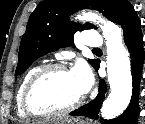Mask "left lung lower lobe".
Instances as JSON below:
<instances>
[{"mask_svg": "<svg viewBox=\"0 0 145 124\" xmlns=\"http://www.w3.org/2000/svg\"><path fill=\"white\" fill-rule=\"evenodd\" d=\"M118 24L121 25L124 32V41L131 56L133 94L129 106L125 112L113 120H104L103 124H137L139 115V84L142 77V66L144 63L145 53L143 50V35L141 33V23L133 6L130 7L120 18ZM99 68V62L96 69ZM106 94V83L100 80L99 93L90 103L74 110L71 115L86 116L92 119H98L100 106Z\"/></svg>", "mask_w": 145, "mask_h": 124, "instance_id": "left-lung-lower-lobe-1", "label": "left lung lower lobe"}]
</instances>
